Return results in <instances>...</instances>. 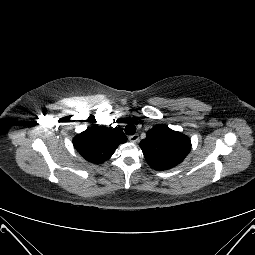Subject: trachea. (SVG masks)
Returning <instances> with one entry per match:
<instances>
[{
    "label": "trachea",
    "instance_id": "trachea-1",
    "mask_svg": "<svg viewBox=\"0 0 255 255\" xmlns=\"http://www.w3.org/2000/svg\"><path fill=\"white\" fill-rule=\"evenodd\" d=\"M136 132V127L133 125V124H128L126 127H125V133L127 135H134Z\"/></svg>",
    "mask_w": 255,
    "mask_h": 255
}]
</instances>
